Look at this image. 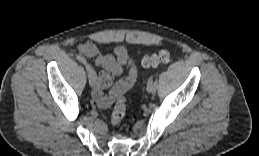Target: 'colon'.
<instances>
[{
    "instance_id": "5ec220e1",
    "label": "colon",
    "mask_w": 259,
    "mask_h": 156,
    "mask_svg": "<svg viewBox=\"0 0 259 156\" xmlns=\"http://www.w3.org/2000/svg\"><path fill=\"white\" fill-rule=\"evenodd\" d=\"M170 53L167 50H161L158 54L145 55L142 58V65L144 67H156L160 63H165L169 61ZM126 111V101L122 94L118 97V100L115 104L114 110L111 115V123L114 126H117L121 123L125 116Z\"/></svg>"
}]
</instances>
